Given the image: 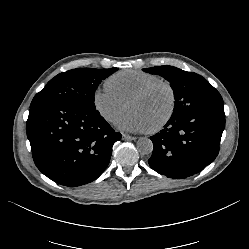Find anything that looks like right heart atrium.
Returning <instances> with one entry per match:
<instances>
[{
	"mask_svg": "<svg viewBox=\"0 0 249 249\" xmlns=\"http://www.w3.org/2000/svg\"><path fill=\"white\" fill-rule=\"evenodd\" d=\"M92 102L98 115L108 123L113 122L125 106V102L106 86L95 89Z\"/></svg>",
	"mask_w": 249,
	"mask_h": 249,
	"instance_id": "right-heart-atrium-1",
	"label": "right heart atrium"
}]
</instances>
